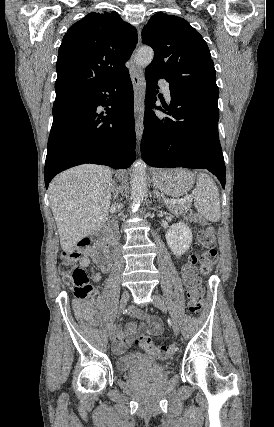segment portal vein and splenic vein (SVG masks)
Wrapping results in <instances>:
<instances>
[{
	"instance_id": "1",
	"label": "portal vein and splenic vein",
	"mask_w": 274,
	"mask_h": 427,
	"mask_svg": "<svg viewBox=\"0 0 274 427\" xmlns=\"http://www.w3.org/2000/svg\"><path fill=\"white\" fill-rule=\"evenodd\" d=\"M187 200H192V198H187ZM185 200H175V202H171V204H184Z\"/></svg>"
}]
</instances>
